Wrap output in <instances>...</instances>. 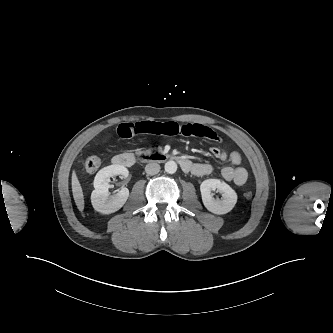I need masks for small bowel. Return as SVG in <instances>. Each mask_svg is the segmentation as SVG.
I'll return each instance as SVG.
<instances>
[{"instance_id":"1","label":"small bowel","mask_w":333,"mask_h":333,"mask_svg":"<svg viewBox=\"0 0 333 333\" xmlns=\"http://www.w3.org/2000/svg\"><path fill=\"white\" fill-rule=\"evenodd\" d=\"M118 135L123 139L132 138L138 134L155 135H183L186 137H201L212 141H219L217 133L201 124H178L175 122L159 123L143 121L137 123L121 124L117 128ZM210 153L220 161H230L232 166H225L221 170L224 180L243 185L247 181L248 172L241 166V156L238 152H227L218 147H211ZM196 176H207L213 172V167L207 163H196L191 171Z\"/></svg>"}]
</instances>
